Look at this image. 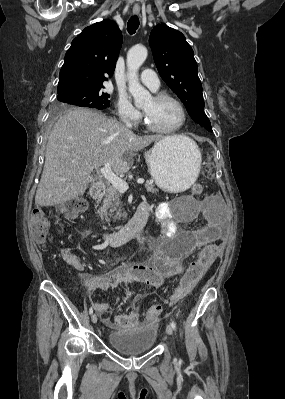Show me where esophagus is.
<instances>
[{
	"instance_id": "esophagus-1",
	"label": "esophagus",
	"mask_w": 285,
	"mask_h": 399,
	"mask_svg": "<svg viewBox=\"0 0 285 399\" xmlns=\"http://www.w3.org/2000/svg\"><path fill=\"white\" fill-rule=\"evenodd\" d=\"M139 12H140V7L134 6V7H133V13H134V14H139Z\"/></svg>"
}]
</instances>
